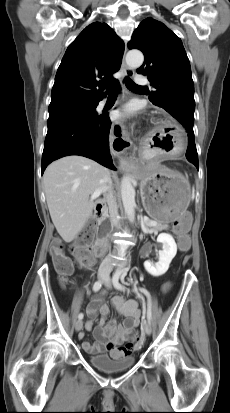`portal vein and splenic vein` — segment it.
<instances>
[{
	"instance_id": "obj_1",
	"label": "portal vein and splenic vein",
	"mask_w": 230,
	"mask_h": 413,
	"mask_svg": "<svg viewBox=\"0 0 230 413\" xmlns=\"http://www.w3.org/2000/svg\"><path fill=\"white\" fill-rule=\"evenodd\" d=\"M108 188L107 187H102V188H98L97 190H95V192L91 195V199L94 200L97 197H99L103 192H105ZM157 223L151 221L150 225L151 226H155Z\"/></svg>"
}]
</instances>
